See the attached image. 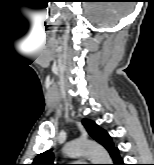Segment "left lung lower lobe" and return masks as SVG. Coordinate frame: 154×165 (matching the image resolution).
Returning a JSON list of instances; mask_svg holds the SVG:
<instances>
[{"instance_id":"obj_1","label":"left lung lower lobe","mask_w":154,"mask_h":165,"mask_svg":"<svg viewBox=\"0 0 154 165\" xmlns=\"http://www.w3.org/2000/svg\"><path fill=\"white\" fill-rule=\"evenodd\" d=\"M113 160V165H124L122 159L119 156V150L116 149L113 155L111 156Z\"/></svg>"}]
</instances>
